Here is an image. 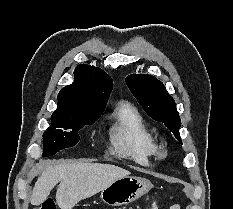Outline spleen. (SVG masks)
<instances>
[{
  "mask_svg": "<svg viewBox=\"0 0 233 209\" xmlns=\"http://www.w3.org/2000/svg\"><path fill=\"white\" fill-rule=\"evenodd\" d=\"M170 209H180L179 205H173Z\"/></svg>",
  "mask_w": 233,
  "mask_h": 209,
  "instance_id": "3e777b00",
  "label": "spleen"
}]
</instances>
